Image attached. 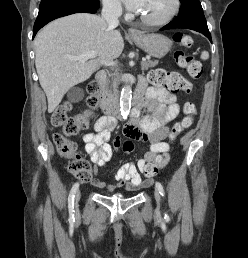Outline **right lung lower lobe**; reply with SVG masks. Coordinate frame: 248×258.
<instances>
[{"label":"right lung lower lobe","instance_id":"98d812e1","mask_svg":"<svg viewBox=\"0 0 248 258\" xmlns=\"http://www.w3.org/2000/svg\"><path fill=\"white\" fill-rule=\"evenodd\" d=\"M99 6V0H72L52 4L45 8L39 9L38 17L34 24L33 38L38 30L56 18L77 12L95 13Z\"/></svg>","mask_w":248,"mask_h":258}]
</instances>
